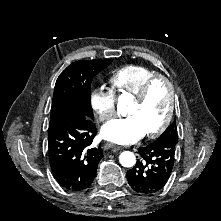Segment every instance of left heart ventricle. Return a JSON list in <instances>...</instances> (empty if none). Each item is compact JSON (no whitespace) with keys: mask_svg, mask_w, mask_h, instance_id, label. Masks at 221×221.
<instances>
[{"mask_svg":"<svg viewBox=\"0 0 221 221\" xmlns=\"http://www.w3.org/2000/svg\"><path fill=\"white\" fill-rule=\"evenodd\" d=\"M169 105V92L163 82L156 83L150 90L147 99L141 105L134 101L126 114L133 117L146 133L155 130L164 120Z\"/></svg>","mask_w":221,"mask_h":221,"instance_id":"b2bd125f","label":"left heart ventricle"}]
</instances>
